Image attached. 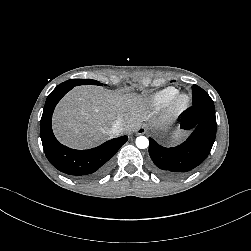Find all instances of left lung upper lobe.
Returning a JSON list of instances; mask_svg holds the SVG:
<instances>
[{
	"mask_svg": "<svg viewBox=\"0 0 251 251\" xmlns=\"http://www.w3.org/2000/svg\"><path fill=\"white\" fill-rule=\"evenodd\" d=\"M192 92H193V102H196V103L213 102L210 96L197 85H194L192 87Z\"/></svg>",
	"mask_w": 251,
	"mask_h": 251,
	"instance_id": "1",
	"label": "left lung upper lobe"
}]
</instances>
